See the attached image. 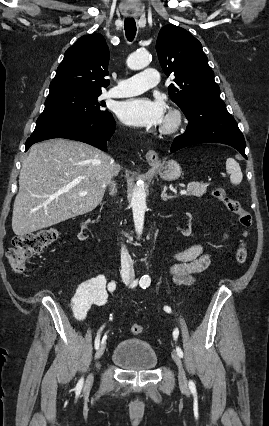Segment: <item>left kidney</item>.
I'll use <instances>...</instances> for the list:
<instances>
[{
  "label": "left kidney",
  "mask_w": 269,
  "mask_h": 426,
  "mask_svg": "<svg viewBox=\"0 0 269 426\" xmlns=\"http://www.w3.org/2000/svg\"><path fill=\"white\" fill-rule=\"evenodd\" d=\"M188 216H189V220H188V225H187V228H183L182 230H181V233L184 235V236H190L191 235V232H192V229H191V219H192V216L190 215V214H188Z\"/></svg>",
  "instance_id": "5707ae66"
}]
</instances>
